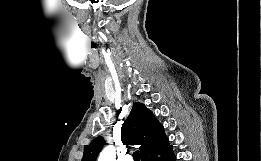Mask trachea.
Returning a JSON list of instances; mask_svg holds the SVG:
<instances>
[{"label":"trachea","mask_w":261,"mask_h":161,"mask_svg":"<svg viewBox=\"0 0 261 161\" xmlns=\"http://www.w3.org/2000/svg\"><path fill=\"white\" fill-rule=\"evenodd\" d=\"M133 159H134V161H140L139 151H135L133 153Z\"/></svg>","instance_id":"3493384b"}]
</instances>
